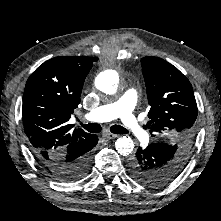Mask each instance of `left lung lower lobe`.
<instances>
[{"instance_id":"1","label":"left lung lower lobe","mask_w":221,"mask_h":221,"mask_svg":"<svg viewBox=\"0 0 221 221\" xmlns=\"http://www.w3.org/2000/svg\"><path fill=\"white\" fill-rule=\"evenodd\" d=\"M165 151L159 144L139 147L129 162L131 177L146 186L157 187L164 184V181L156 178L162 176L159 168L164 160Z\"/></svg>"}]
</instances>
